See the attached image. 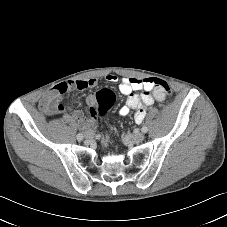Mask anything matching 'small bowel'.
Masks as SVG:
<instances>
[{"label":"small bowel","mask_w":227,"mask_h":227,"mask_svg":"<svg viewBox=\"0 0 227 227\" xmlns=\"http://www.w3.org/2000/svg\"><path fill=\"white\" fill-rule=\"evenodd\" d=\"M108 83H119V91L126 96V102L119 110L120 116L128 115L132 110H135L134 119L137 123H141L145 116L147 109L154 102H161L165 99L166 93L159 87L150 84L151 78H134L124 77L119 78L114 74H108L105 77ZM98 84L97 79H88L84 81H69L56 85L49 93H47L41 100V108L49 115L63 112L66 107L60 102L59 98L62 94L70 89H86L95 87ZM139 91V94L135 92ZM95 96L90 95L87 98V103L91 105L94 102ZM70 114L75 118L82 129H88L92 122L88 120L83 112L79 109L68 108Z\"/></svg>","instance_id":"1"}]
</instances>
